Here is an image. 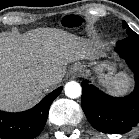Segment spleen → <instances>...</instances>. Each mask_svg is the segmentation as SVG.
I'll return each mask as SVG.
<instances>
[{
	"label": "spleen",
	"instance_id": "obj_1",
	"mask_svg": "<svg viewBox=\"0 0 139 139\" xmlns=\"http://www.w3.org/2000/svg\"><path fill=\"white\" fill-rule=\"evenodd\" d=\"M127 85V79L125 77H122V75H117L111 82L112 92L121 94L126 90Z\"/></svg>",
	"mask_w": 139,
	"mask_h": 139
}]
</instances>
